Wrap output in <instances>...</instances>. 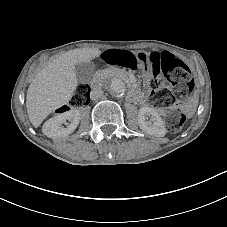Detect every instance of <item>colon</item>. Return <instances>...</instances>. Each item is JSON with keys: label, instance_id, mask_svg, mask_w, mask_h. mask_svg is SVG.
I'll use <instances>...</instances> for the list:
<instances>
[{"label": "colon", "instance_id": "colon-1", "mask_svg": "<svg viewBox=\"0 0 227 227\" xmlns=\"http://www.w3.org/2000/svg\"><path fill=\"white\" fill-rule=\"evenodd\" d=\"M101 60L108 64L121 66L131 71L149 69L155 77L162 72L172 84V89L161 87L155 80L151 83L152 104L157 108H171L189 98L193 91V80L189 67L180 59L168 52H161L159 56H145L129 51L109 50L100 55ZM90 87L81 84L71 97L68 107L78 108L89 102ZM185 120L180 110L170 112L166 117V125L170 131H177Z\"/></svg>", "mask_w": 227, "mask_h": 227}]
</instances>
